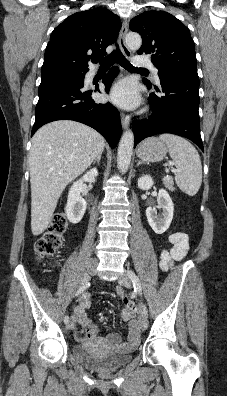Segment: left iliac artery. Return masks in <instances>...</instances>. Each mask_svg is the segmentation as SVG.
<instances>
[{"label": "left iliac artery", "instance_id": "left-iliac-artery-1", "mask_svg": "<svg viewBox=\"0 0 227 396\" xmlns=\"http://www.w3.org/2000/svg\"><path fill=\"white\" fill-rule=\"evenodd\" d=\"M127 273H128L129 277L131 278V280H132V282H133L134 290H135L136 292H138L139 294H142L141 283H140V280H139V278L137 277V275H136L134 272L129 271V270L127 271ZM144 311H145V314L147 315V310H146V307H145V306H144Z\"/></svg>", "mask_w": 227, "mask_h": 396}]
</instances>
